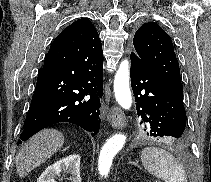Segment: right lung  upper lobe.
Listing matches in <instances>:
<instances>
[{
  "label": "right lung upper lobe",
  "instance_id": "right-lung-upper-lobe-1",
  "mask_svg": "<svg viewBox=\"0 0 211 182\" xmlns=\"http://www.w3.org/2000/svg\"><path fill=\"white\" fill-rule=\"evenodd\" d=\"M95 34H97V31L91 21L82 18L64 29L54 41L63 45L68 42L81 41L82 39L92 37Z\"/></svg>",
  "mask_w": 211,
  "mask_h": 182
}]
</instances>
